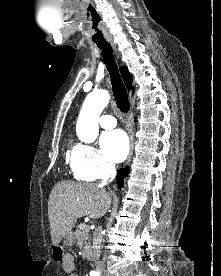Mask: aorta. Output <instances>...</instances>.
Here are the masks:
<instances>
[{
	"label": "aorta",
	"instance_id": "762f6f07",
	"mask_svg": "<svg viewBox=\"0 0 221 276\" xmlns=\"http://www.w3.org/2000/svg\"><path fill=\"white\" fill-rule=\"evenodd\" d=\"M110 100L107 91L90 93L80 111L76 132L78 138L84 143H92L96 140L99 132L98 119Z\"/></svg>",
	"mask_w": 221,
	"mask_h": 276
}]
</instances>
